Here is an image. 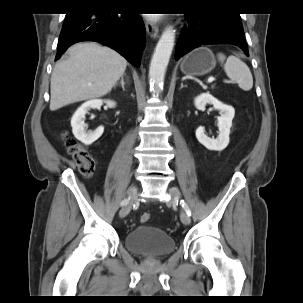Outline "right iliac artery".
<instances>
[{
    "label": "right iliac artery",
    "mask_w": 303,
    "mask_h": 303,
    "mask_svg": "<svg viewBox=\"0 0 303 303\" xmlns=\"http://www.w3.org/2000/svg\"><path fill=\"white\" fill-rule=\"evenodd\" d=\"M129 201V198L128 199H124L122 202H121V206H124L128 203Z\"/></svg>",
    "instance_id": "82829eb1"
}]
</instances>
